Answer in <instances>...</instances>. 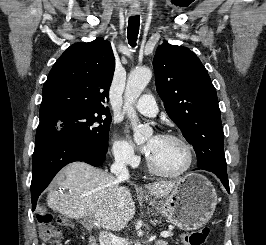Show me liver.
<instances>
[{
	"label": "liver",
	"mask_w": 266,
	"mask_h": 245,
	"mask_svg": "<svg viewBox=\"0 0 266 245\" xmlns=\"http://www.w3.org/2000/svg\"><path fill=\"white\" fill-rule=\"evenodd\" d=\"M55 183L57 189L49 191L47 205L68 219H83L91 213L96 225L121 231L135 215L130 191L120 187L113 175L87 163H70L56 175ZM177 185L179 181H159L146 185V189L159 199L167 197Z\"/></svg>",
	"instance_id": "1"
}]
</instances>
